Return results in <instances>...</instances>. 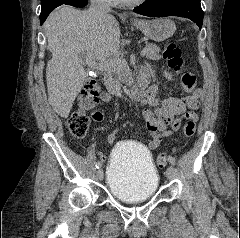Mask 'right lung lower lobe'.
<instances>
[{
    "label": "right lung lower lobe",
    "instance_id": "98d812e1",
    "mask_svg": "<svg viewBox=\"0 0 240 238\" xmlns=\"http://www.w3.org/2000/svg\"><path fill=\"white\" fill-rule=\"evenodd\" d=\"M69 5H72L74 7H84V6L87 5V0H71ZM47 16H45L43 18H40V23L41 24L46 20Z\"/></svg>",
    "mask_w": 240,
    "mask_h": 238
}]
</instances>
